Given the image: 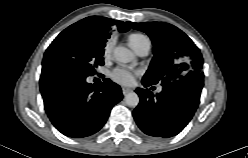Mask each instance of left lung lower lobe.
I'll use <instances>...</instances> for the list:
<instances>
[{
  "instance_id": "obj_1",
  "label": "left lung lower lobe",
  "mask_w": 248,
  "mask_h": 158,
  "mask_svg": "<svg viewBox=\"0 0 248 158\" xmlns=\"http://www.w3.org/2000/svg\"><path fill=\"white\" fill-rule=\"evenodd\" d=\"M148 87L150 82L142 79ZM203 81L178 79L155 96L148 89H136L140 103L133 111L138 127L147 135L168 138L180 133L193 117L200 102Z\"/></svg>"
}]
</instances>
